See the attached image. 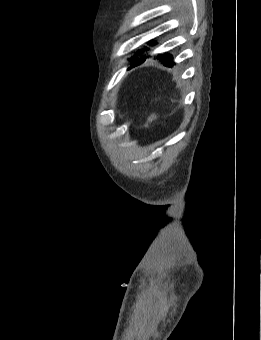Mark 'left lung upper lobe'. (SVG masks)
Masks as SVG:
<instances>
[{
  "label": "left lung upper lobe",
  "mask_w": 261,
  "mask_h": 340,
  "mask_svg": "<svg viewBox=\"0 0 261 340\" xmlns=\"http://www.w3.org/2000/svg\"><path fill=\"white\" fill-rule=\"evenodd\" d=\"M151 44H154V42H151ZM146 50H147V48H146ZM141 51H143V49H142V50H140V52H141Z\"/></svg>",
  "instance_id": "1"
}]
</instances>
